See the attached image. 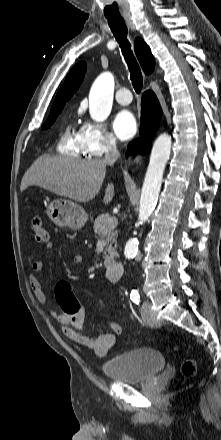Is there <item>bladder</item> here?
Returning <instances> with one entry per match:
<instances>
[{
	"instance_id": "1",
	"label": "bladder",
	"mask_w": 221,
	"mask_h": 440,
	"mask_svg": "<svg viewBox=\"0 0 221 440\" xmlns=\"http://www.w3.org/2000/svg\"><path fill=\"white\" fill-rule=\"evenodd\" d=\"M165 364L162 353L152 348H141L117 355L103 362L101 368L111 381L133 384L151 379Z\"/></svg>"
}]
</instances>
